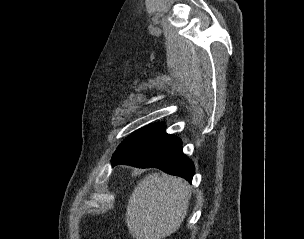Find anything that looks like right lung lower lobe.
Masks as SVG:
<instances>
[{
  "label": "right lung lower lobe",
  "instance_id": "98d812e1",
  "mask_svg": "<svg viewBox=\"0 0 304 239\" xmlns=\"http://www.w3.org/2000/svg\"><path fill=\"white\" fill-rule=\"evenodd\" d=\"M165 127L130 143L114 153L112 165L127 164L139 168H159L164 172L192 180L193 162L182 152L181 140L164 132Z\"/></svg>",
  "mask_w": 304,
  "mask_h": 239
}]
</instances>
